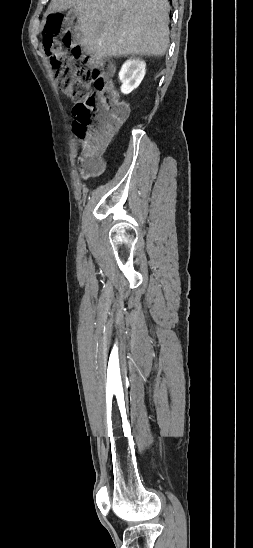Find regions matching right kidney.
<instances>
[{"instance_id":"ca27d5eb","label":"right kidney","mask_w":253,"mask_h":548,"mask_svg":"<svg viewBox=\"0 0 253 548\" xmlns=\"http://www.w3.org/2000/svg\"><path fill=\"white\" fill-rule=\"evenodd\" d=\"M145 67L146 63L140 59H129L122 65L119 79L123 94H129L140 85L145 76Z\"/></svg>"}]
</instances>
